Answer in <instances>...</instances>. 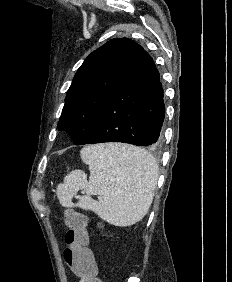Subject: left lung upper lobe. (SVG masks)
I'll use <instances>...</instances> for the list:
<instances>
[{
	"label": "left lung upper lobe",
	"instance_id": "1",
	"mask_svg": "<svg viewBox=\"0 0 232 282\" xmlns=\"http://www.w3.org/2000/svg\"><path fill=\"white\" fill-rule=\"evenodd\" d=\"M144 49L128 38H115L88 55L67 91L58 123L77 144L88 139L98 114L134 70Z\"/></svg>",
	"mask_w": 232,
	"mask_h": 282
}]
</instances>
